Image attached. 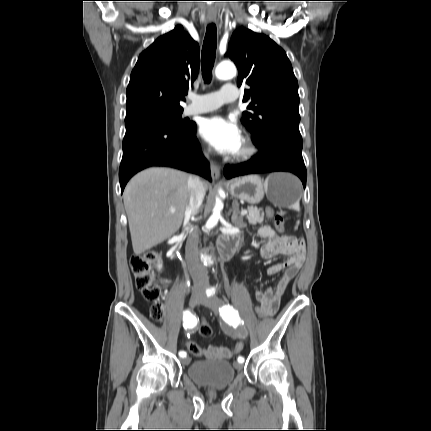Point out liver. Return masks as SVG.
Returning a JSON list of instances; mask_svg holds the SVG:
<instances>
[{
  "instance_id": "obj_1",
  "label": "liver",
  "mask_w": 431,
  "mask_h": 431,
  "mask_svg": "<svg viewBox=\"0 0 431 431\" xmlns=\"http://www.w3.org/2000/svg\"><path fill=\"white\" fill-rule=\"evenodd\" d=\"M188 178L187 173L155 167L138 173L127 184L123 200L136 255L179 230L189 198ZM204 187L206 191L208 185Z\"/></svg>"
}]
</instances>
